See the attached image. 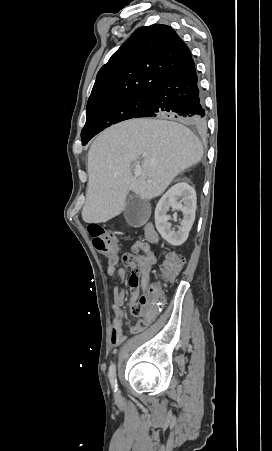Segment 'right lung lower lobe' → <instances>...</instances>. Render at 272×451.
<instances>
[{
	"label": "right lung lower lobe",
	"mask_w": 272,
	"mask_h": 451,
	"mask_svg": "<svg viewBox=\"0 0 272 451\" xmlns=\"http://www.w3.org/2000/svg\"><path fill=\"white\" fill-rule=\"evenodd\" d=\"M138 117L176 118L205 130L204 100L192 57L150 93L148 105Z\"/></svg>",
	"instance_id": "obj_1"
}]
</instances>
